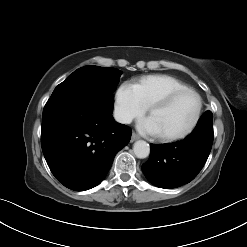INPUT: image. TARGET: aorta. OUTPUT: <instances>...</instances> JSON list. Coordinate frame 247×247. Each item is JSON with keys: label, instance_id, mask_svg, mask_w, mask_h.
Segmentation results:
<instances>
[{"label": "aorta", "instance_id": "obj_1", "mask_svg": "<svg viewBox=\"0 0 247 247\" xmlns=\"http://www.w3.org/2000/svg\"><path fill=\"white\" fill-rule=\"evenodd\" d=\"M133 151L136 157L140 159L147 158L150 153L149 144L144 140H138L133 145Z\"/></svg>", "mask_w": 247, "mask_h": 247}]
</instances>
